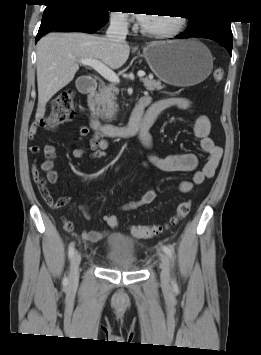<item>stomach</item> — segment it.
<instances>
[{
    "label": "stomach",
    "instance_id": "1",
    "mask_svg": "<svg viewBox=\"0 0 261 355\" xmlns=\"http://www.w3.org/2000/svg\"><path fill=\"white\" fill-rule=\"evenodd\" d=\"M152 72L174 86H193L204 81L213 69L209 49L197 39L154 42L143 49Z\"/></svg>",
    "mask_w": 261,
    "mask_h": 355
}]
</instances>
